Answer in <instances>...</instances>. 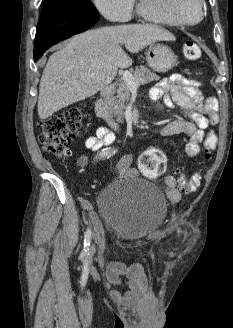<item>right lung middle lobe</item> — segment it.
<instances>
[{
	"label": "right lung middle lobe",
	"mask_w": 233,
	"mask_h": 328,
	"mask_svg": "<svg viewBox=\"0 0 233 328\" xmlns=\"http://www.w3.org/2000/svg\"><path fill=\"white\" fill-rule=\"evenodd\" d=\"M42 6H64L96 10L90 0H42Z\"/></svg>",
	"instance_id": "1"
}]
</instances>
